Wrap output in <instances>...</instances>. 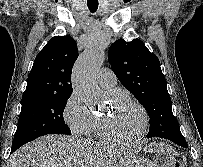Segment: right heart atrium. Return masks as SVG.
<instances>
[{"label": "right heart atrium", "mask_w": 203, "mask_h": 167, "mask_svg": "<svg viewBox=\"0 0 203 167\" xmlns=\"http://www.w3.org/2000/svg\"><path fill=\"white\" fill-rule=\"evenodd\" d=\"M63 119L73 134L85 136L91 133L94 115L76 92H72L65 102Z\"/></svg>", "instance_id": "1"}]
</instances>
